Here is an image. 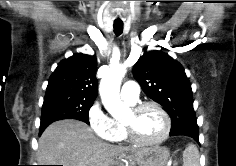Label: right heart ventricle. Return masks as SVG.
Masks as SVG:
<instances>
[{
  "instance_id": "right-heart-ventricle-1",
  "label": "right heart ventricle",
  "mask_w": 236,
  "mask_h": 166,
  "mask_svg": "<svg viewBox=\"0 0 236 166\" xmlns=\"http://www.w3.org/2000/svg\"><path fill=\"white\" fill-rule=\"evenodd\" d=\"M126 103L133 105L134 103L126 101ZM114 122V128H115V137L114 141L117 142H127L128 141V136L126 134V131L123 127V124L118 121H113Z\"/></svg>"
}]
</instances>
